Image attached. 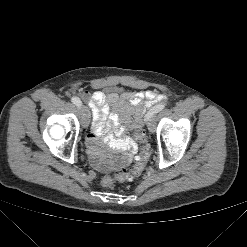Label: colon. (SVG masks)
Wrapping results in <instances>:
<instances>
[{
    "instance_id": "5ec220e1",
    "label": "colon",
    "mask_w": 247,
    "mask_h": 247,
    "mask_svg": "<svg viewBox=\"0 0 247 247\" xmlns=\"http://www.w3.org/2000/svg\"><path fill=\"white\" fill-rule=\"evenodd\" d=\"M135 137L140 142V152L136 157L134 166L130 169V171L120 172L115 177L105 176L102 180L104 186L109 187L114 183V181H132L143 172L150 154L149 144L141 127L135 130Z\"/></svg>"
}]
</instances>
